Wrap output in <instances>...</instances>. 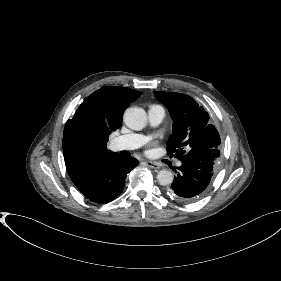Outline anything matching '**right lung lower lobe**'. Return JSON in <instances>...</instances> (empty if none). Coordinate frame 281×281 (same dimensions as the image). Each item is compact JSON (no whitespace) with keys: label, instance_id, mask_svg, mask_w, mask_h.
Listing matches in <instances>:
<instances>
[{"label":"right lung lower lobe","instance_id":"right-lung-lower-lobe-1","mask_svg":"<svg viewBox=\"0 0 281 281\" xmlns=\"http://www.w3.org/2000/svg\"><path fill=\"white\" fill-rule=\"evenodd\" d=\"M137 165V159L112 152L98 158L73 182L90 201L108 203L123 191L127 174Z\"/></svg>","mask_w":281,"mask_h":281}]
</instances>
